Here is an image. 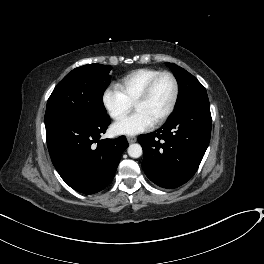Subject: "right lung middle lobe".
Masks as SVG:
<instances>
[{
    "mask_svg": "<svg viewBox=\"0 0 264 264\" xmlns=\"http://www.w3.org/2000/svg\"><path fill=\"white\" fill-rule=\"evenodd\" d=\"M109 65L87 64L68 73L50 95L45 125L66 119H91L108 116L103 94L110 84Z\"/></svg>",
    "mask_w": 264,
    "mask_h": 264,
    "instance_id": "obj_1",
    "label": "right lung middle lobe"
}]
</instances>
